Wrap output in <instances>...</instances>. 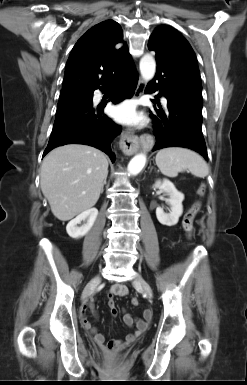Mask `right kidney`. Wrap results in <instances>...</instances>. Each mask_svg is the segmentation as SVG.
<instances>
[{"instance_id":"right-kidney-1","label":"right kidney","mask_w":247,"mask_h":385,"mask_svg":"<svg viewBox=\"0 0 247 385\" xmlns=\"http://www.w3.org/2000/svg\"><path fill=\"white\" fill-rule=\"evenodd\" d=\"M98 215V210L96 208H90L81 214H79L75 219L71 220L67 226L66 231L71 238L77 239L85 236L90 229L92 228ZM82 221L85 222L84 225L78 227Z\"/></svg>"}]
</instances>
